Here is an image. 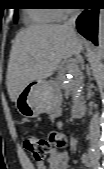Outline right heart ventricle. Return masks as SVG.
Returning a JSON list of instances; mask_svg holds the SVG:
<instances>
[{"instance_id":"1","label":"right heart ventricle","mask_w":104,"mask_h":169,"mask_svg":"<svg viewBox=\"0 0 104 169\" xmlns=\"http://www.w3.org/2000/svg\"><path fill=\"white\" fill-rule=\"evenodd\" d=\"M29 17L36 23L48 24L57 20L56 10L53 8H36L28 12Z\"/></svg>"}]
</instances>
